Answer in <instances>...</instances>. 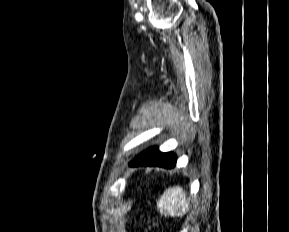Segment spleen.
<instances>
[{"label": "spleen", "mask_w": 289, "mask_h": 232, "mask_svg": "<svg viewBox=\"0 0 289 232\" xmlns=\"http://www.w3.org/2000/svg\"><path fill=\"white\" fill-rule=\"evenodd\" d=\"M157 208L165 216H184L190 209L186 192L179 185L169 187L157 202Z\"/></svg>", "instance_id": "3e777b00"}]
</instances>
